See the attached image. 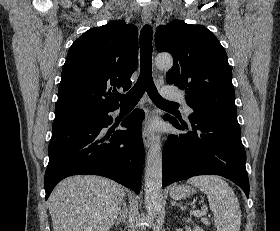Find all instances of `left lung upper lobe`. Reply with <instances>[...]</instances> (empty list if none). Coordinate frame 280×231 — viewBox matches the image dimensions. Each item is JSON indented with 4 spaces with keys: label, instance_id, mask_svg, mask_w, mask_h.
Here are the masks:
<instances>
[{
    "label": "left lung upper lobe",
    "instance_id": "5c2ea615",
    "mask_svg": "<svg viewBox=\"0 0 280 231\" xmlns=\"http://www.w3.org/2000/svg\"><path fill=\"white\" fill-rule=\"evenodd\" d=\"M156 49L173 56L166 81L185 90L191 115L237 116L232 70L216 36L202 25L174 20L156 30Z\"/></svg>",
    "mask_w": 280,
    "mask_h": 231
}]
</instances>
